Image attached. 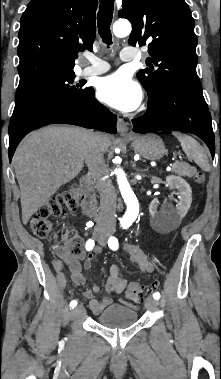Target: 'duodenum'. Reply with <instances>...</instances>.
I'll return each instance as SVG.
<instances>
[{
	"mask_svg": "<svg viewBox=\"0 0 221 379\" xmlns=\"http://www.w3.org/2000/svg\"><path fill=\"white\" fill-rule=\"evenodd\" d=\"M82 188L84 192V197L82 200L83 212L88 216H93L96 212V198L94 190L86 180H83Z\"/></svg>",
	"mask_w": 221,
	"mask_h": 379,
	"instance_id": "obj_1",
	"label": "duodenum"
}]
</instances>
